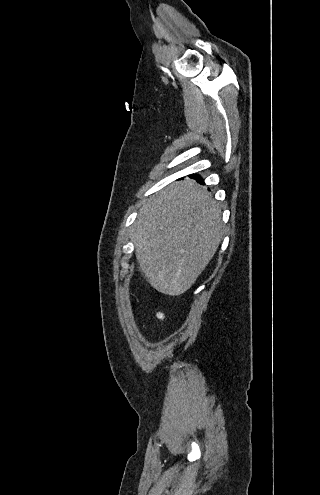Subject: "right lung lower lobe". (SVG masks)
Here are the masks:
<instances>
[{
  "label": "right lung lower lobe",
  "instance_id": "98d812e1",
  "mask_svg": "<svg viewBox=\"0 0 320 495\" xmlns=\"http://www.w3.org/2000/svg\"><path fill=\"white\" fill-rule=\"evenodd\" d=\"M190 177L196 179L198 182L202 184L204 183L203 179L199 175H191Z\"/></svg>",
  "mask_w": 320,
  "mask_h": 495
}]
</instances>
